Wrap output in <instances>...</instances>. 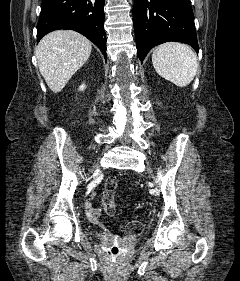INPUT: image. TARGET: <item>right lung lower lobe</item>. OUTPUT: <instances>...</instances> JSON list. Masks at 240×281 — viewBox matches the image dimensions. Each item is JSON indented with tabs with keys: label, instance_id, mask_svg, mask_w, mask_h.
Masks as SVG:
<instances>
[{
	"label": "right lung lower lobe",
	"instance_id": "obj_1",
	"mask_svg": "<svg viewBox=\"0 0 240 281\" xmlns=\"http://www.w3.org/2000/svg\"><path fill=\"white\" fill-rule=\"evenodd\" d=\"M105 0H43L37 24V42L58 29L74 30L92 41L106 58Z\"/></svg>",
	"mask_w": 240,
	"mask_h": 281
}]
</instances>
